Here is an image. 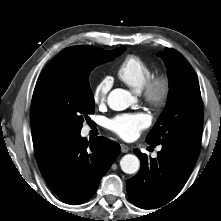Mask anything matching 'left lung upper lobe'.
I'll return each mask as SVG.
<instances>
[{
  "instance_id": "5c2ea615",
  "label": "left lung upper lobe",
  "mask_w": 221,
  "mask_h": 221,
  "mask_svg": "<svg viewBox=\"0 0 221 221\" xmlns=\"http://www.w3.org/2000/svg\"><path fill=\"white\" fill-rule=\"evenodd\" d=\"M158 55L166 61L170 91L167 105L147 135L146 142L153 145L181 142L199 147L203 105L195 71L174 49L165 48Z\"/></svg>"
}]
</instances>
